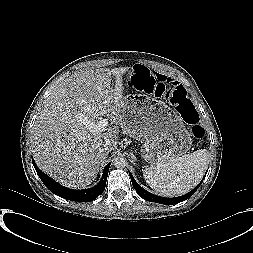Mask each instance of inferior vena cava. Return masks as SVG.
<instances>
[{
  "label": "inferior vena cava",
  "instance_id": "1",
  "mask_svg": "<svg viewBox=\"0 0 253 253\" xmlns=\"http://www.w3.org/2000/svg\"><path fill=\"white\" fill-rule=\"evenodd\" d=\"M104 150H105V151L112 150V147H110L109 144H105V145H104Z\"/></svg>",
  "mask_w": 253,
  "mask_h": 253
}]
</instances>
